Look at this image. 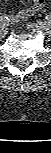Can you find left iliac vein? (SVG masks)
Listing matches in <instances>:
<instances>
[{"label": "left iliac vein", "mask_w": 51, "mask_h": 153, "mask_svg": "<svg viewBox=\"0 0 51 153\" xmlns=\"http://www.w3.org/2000/svg\"><path fill=\"white\" fill-rule=\"evenodd\" d=\"M28 27L32 30H38V31H42L44 33H50L51 32V28L50 25L47 23H32L30 25H28Z\"/></svg>", "instance_id": "obj_1"}]
</instances>
